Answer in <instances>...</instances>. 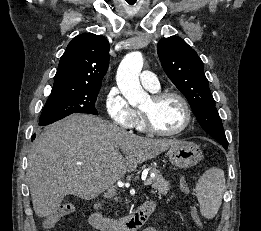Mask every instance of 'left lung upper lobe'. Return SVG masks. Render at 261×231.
Listing matches in <instances>:
<instances>
[{"mask_svg":"<svg viewBox=\"0 0 261 231\" xmlns=\"http://www.w3.org/2000/svg\"><path fill=\"white\" fill-rule=\"evenodd\" d=\"M157 51L164 71L187 98L201 127L215 140L228 143L196 51L176 36L161 39Z\"/></svg>","mask_w":261,"mask_h":231,"instance_id":"5c2ea615","label":"left lung upper lobe"}]
</instances>
